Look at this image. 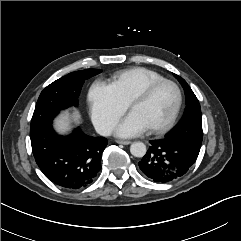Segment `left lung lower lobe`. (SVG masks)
<instances>
[{"mask_svg":"<svg viewBox=\"0 0 241 241\" xmlns=\"http://www.w3.org/2000/svg\"><path fill=\"white\" fill-rule=\"evenodd\" d=\"M150 144L139 167L144 175L155 182L166 183L179 179L198 157L174 139L152 140Z\"/></svg>","mask_w":241,"mask_h":241,"instance_id":"left-lung-lower-lobe-1","label":"left lung lower lobe"}]
</instances>
